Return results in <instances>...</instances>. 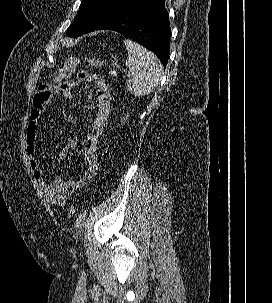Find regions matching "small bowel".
<instances>
[{
	"mask_svg": "<svg viewBox=\"0 0 272 303\" xmlns=\"http://www.w3.org/2000/svg\"><path fill=\"white\" fill-rule=\"evenodd\" d=\"M78 79L92 83L95 88V114L88 136L85 139L68 140L57 150L56 157L59 160H66L69 150L82 157L86 162L83 176L79 179H72L56 175L51 182H48L45 180L37 158V137L40 118L53 95L57 94L67 99L72 97V90L76 85L75 81H63L56 89L49 88V84L42 85L37 89L29 112L25 133L26 151L31 172L43 191L46 200L51 205L59 208L65 205L71 193L85 188L95 178L100 166L97 156L99 139L110 114L111 94L105 80L100 75L88 71L80 72Z\"/></svg>",
	"mask_w": 272,
	"mask_h": 303,
	"instance_id": "c3829d8e",
	"label": "small bowel"
}]
</instances>
